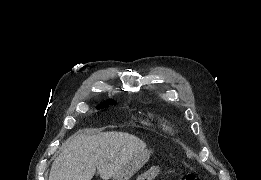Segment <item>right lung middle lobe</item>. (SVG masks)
<instances>
[{"mask_svg": "<svg viewBox=\"0 0 261 180\" xmlns=\"http://www.w3.org/2000/svg\"><path fill=\"white\" fill-rule=\"evenodd\" d=\"M112 104H113V102L111 100H109L107 102H104V103L100 104L98 106V108H105V107H108L109 105H112Z\"/></svg>", "mask_w": 261, "mask_h": 180, "instance_id": "1", "label": "right lung middle lobe"}]
</instances>
